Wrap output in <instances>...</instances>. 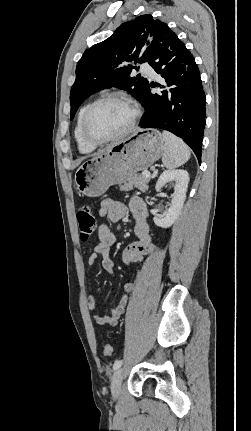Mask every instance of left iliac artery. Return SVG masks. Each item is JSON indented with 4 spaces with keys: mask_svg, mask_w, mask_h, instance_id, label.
<instances>
[{
    "mask_svg": "<svg viewBox=\"0 0 251 431\" xmlns=\"http://www.w3.org/2000/svg\"><path fill=\"white\" fill-rule=\"evenodd\" d=\"M122 365V360H116L113 365V369L116 370Z\"/></svg>",
    "mask_w": 251,
    "mask_h": 431,
    "instance_id": "44dca946",
    "label": "left iliac artery"
}]
</instances>
